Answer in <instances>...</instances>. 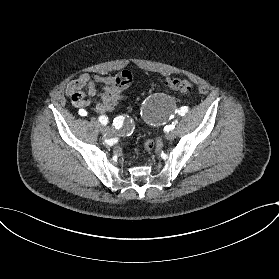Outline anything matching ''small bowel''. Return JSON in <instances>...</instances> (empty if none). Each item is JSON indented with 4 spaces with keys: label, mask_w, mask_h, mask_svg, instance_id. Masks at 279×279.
<instances>
[{
    "label": "small bowel",
    "mask_w": 279,
    "mask_h": 279,
    "mask_svg": "<svg viewBox=\"0 0 279 279\" xmlns=\"http://www.w3.org/2000/svg\"><path fill=\"white\" fill-rule=\"evenodd\" d=\"M131 82L132 74L128 70L113 76L83 73L68 84L66 95L84 114L86 107L93 103L94 98L99 97V101L94 104V110L99 114H105L128 97L125 91ZM98 85L101 86L100 92L97 90Z\"/></svg>",
    "instance_id": "c3829d8e"
}]
</instances>
